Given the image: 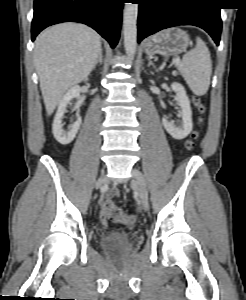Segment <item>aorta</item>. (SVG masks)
<instances>
[{
  "label": "aorta",
  "instance_id": "1",
  "mask_svg": "<svg viewBox=\"0 0 246 300\" xmlns=\"http://www.w3.org/2000/svg\"><path fill=\"white\" fill-rule=\"evenodd\" d=\"M137 17L138 4L125 3L123 19L124 48L130 57L134 56L137 50Z\"/></svg>",
  "mask_w": 246,
  "mask_h": 300
}]
</instances>
